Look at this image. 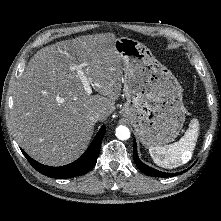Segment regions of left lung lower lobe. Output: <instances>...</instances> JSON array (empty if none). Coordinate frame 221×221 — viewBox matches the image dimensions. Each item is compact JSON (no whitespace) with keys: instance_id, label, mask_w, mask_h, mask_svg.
Here are the masks:
<instances>
[{"instance_id":"left-lung-lower-lobe-1","label":"left lung lower lobe","mask_w":221,"mask_h":221,"mask_svg":"<svg viewBox=\"0 0 221 221\" xmlns=\"http://www.w3.org/2000/svg\"><path fill=\"white\" fill-rule=\"evenodd\" d=\"M133 156H134V162L137 165V167L147 176H156V177H161V178L173 177L178 174H182L183 172H186L188 170L187 169V170H185L183 172H179V173H164V172L158 171L156 169H153V168L145 165L138 158L137 145H136L135 141H134V145H133Z\"/></svg>"}]
</instances>
